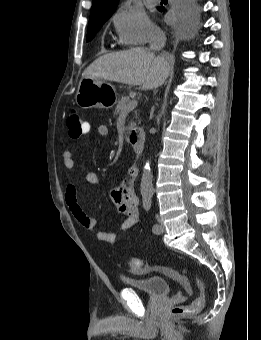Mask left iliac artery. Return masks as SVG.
I'll list each match as a JSON object with an SVG mask.
<instances>
[{
  "label": "left iliac artery",
  "instance_id": "1",
  "mask_svg": "<svg viewBox=\"0 0 261 340\" xmlns=\"http://www.w3.org/2000/svg\"><path fill=\"white\" fill-rule=\"evenodd\" d=\"M152 194L146 193L143 195V207L146 211H149L152 205ZM159 228L158 224H154L152 227L153 232L157 231Z\"/></svg>",
  "mask_w": 261,
  "mask_h": 340
}]
</instances>
